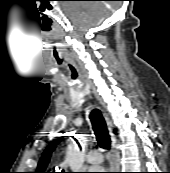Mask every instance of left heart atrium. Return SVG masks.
Here are the masks:
<instances>
[{"instance_id": "left-heart-atrium-1", "label": "left heart atrium", "mask_w": 170, "mask_h": 173, "mask_svg": "<svg viewBox=\"0 0 170 173\" xmlns=\"http://www.w3.org/2000/svg\"><path fill=\"white\" fill-rule=\"evenodd\" d=\"M102 170H104V169H102L100 167H92V172H94V173L103 172Z\"/></svg>"}]
</instances>
